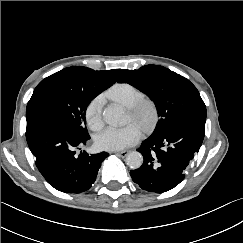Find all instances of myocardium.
<instances>
[{
	"label": "myocardium",
	"mask_w": 243,
	"mask_h": 243,
	"mask_svg": "<svg viewBox=\"0 0 243 243\" xmlns=\"http://www.w3.org/2000/svg\"><path fill=\"white\" fill-rule=\"evenodd\" d=\"M129 111L136 120H143L142 130L149 132L155 126L158 119V107L156 102L147 96H144L134 105L129 107Z\"/></svg>",
	"instance_id": "1"
}]
</instances>
